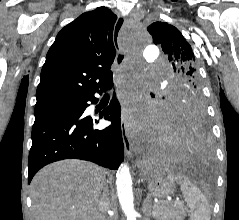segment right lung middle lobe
<instances>
[{
    "mask_svg": "<svg viewBox=\"0 0 239 220\" xmlns=\"http://www.w3.org/2000/svg\"><path fill=\"white\" fill-rule=\"evenodd\" d=\"M63 105H64V104L46 105V106H42V107H39V108H35V112L43 111V110L58 109V108L62 107Z\"/></svg>",
    "mask_w": 239,
    "mask_h": 220,
    "instance_id": "obj_1",
    "label": "right lung middle lobe"
}]
</instances>
